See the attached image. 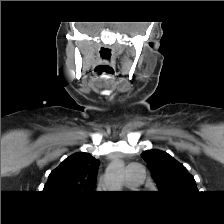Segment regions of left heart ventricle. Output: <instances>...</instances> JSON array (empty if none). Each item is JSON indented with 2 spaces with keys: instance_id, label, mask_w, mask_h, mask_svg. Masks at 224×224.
<instances>
[{
  "instance_id": "obj_1",
  "label": "left heart ventricle",
  "mask_w": 224,
  "mask_h": 224,
  "mask_svg": "<svg viewBox=\"0 0 224 224\" xmlns=\"http://www.w3.org/2000/svg\"><path fill=\"white\" fill-rule=\"evenodd\" d=\"M124 186L129 187V186L126 185V183H124Z\"/></svg>"
}]
</instances>
